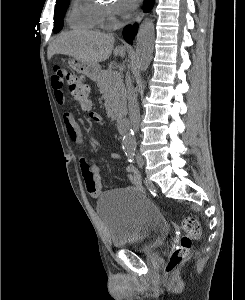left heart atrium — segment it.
Wrapping results in <instances>:
<instances>
[{"instance_id":"obj_1","label":"left heart atrium","mask_w":245,"mask_h":300,"mask_svg":"<svg viewBox=\"0 0 245 300\" xmlns=\"http://www.w3.org/2000/svg\"><path fill=\"white\" fill-rule=\"evenodd\" d=\"M120 1L122 3V8L124 11L132 10L139 2V0H120Z\"/></svg>"}]
</instances>
